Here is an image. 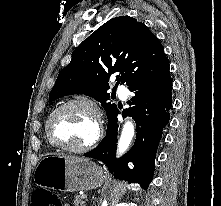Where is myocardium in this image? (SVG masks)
I'll use <instances>...</instances> for the list:
<instances>
[{"instance_id": "obj_1", "label": "myocardium", "mask_w": 221, "mask_h": 206, "mask_svg": "<svg viewBox=\"0 0 221 206\" xmlns=\"http://www.w3.org/2000/svg\"><path fill=\"white\" fill-rule=\"evenodd\" d=\"M74 105L82 106V107L88 109L90 111V113L92 114L94 121H95V133H94L92 140L88 144L81 146V147H72V146L64 145V144L57 142L53 138L52 131H51L52 122H53V119L55 118V116L59 112H61L62 110L66 109L70 106H74ZM45 131H46V136H47L48 141L54 147L64 150V151L82 154V153H86V152L91 151L92 149H94L98 145V143L102 137L103 127H102L101 117H100L99 112H98L97 108L95 107V105L86 99L76 98V99H70V100L60 104L50 113V115L48 116L47 121H46Z\"/></svg>"}]
</instances>
